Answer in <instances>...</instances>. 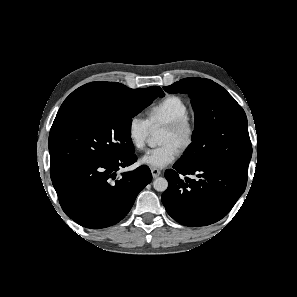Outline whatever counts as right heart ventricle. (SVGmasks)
Returning a JSON list of instances; mask_svg holds the SVG:
<instances>
[{
  "instance_id": "obj_1",
  "label": "right heart ventricle",
  "mask_w": 297,
  "mask_h": 297,
  "mask_svg": "<svg viewBox=\"0 0 297 297\" xmlns=\"http://www.w3.org/2000/svg\"><path fill=\"white\" fill-rule=\"evenodd\" d=\"M188 111V105L183 98L177 95H167L147 109L146 120L150 128L155 129L188 115Z\"/></svg>"
}]
</instances>
